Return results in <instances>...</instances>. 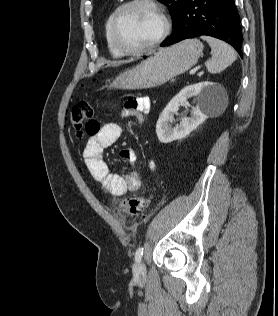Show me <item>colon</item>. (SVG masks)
<instances>
[{
  "instance_id": "colon-1",
  "label": "colon",
  "mask_w": 278,
  "mask_h": 316,
  "mask_svg": "<svg viewBox=\"0 0 278 316\" xmlns=\"http://www.w3.org/2000/svg\"><path fill=\"white\" fill-rule=\"evenodd\" d=\"M93 114L92 106L86 101H78L73 105L70 120L77 139H82L85 134L93 135L98 131L99 124L92 120ZM152 199V195L131 197L124 201L123 212L131 218L140 217L151 204Z\"/></svg>"
}]
</instances>
